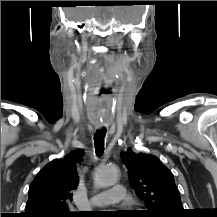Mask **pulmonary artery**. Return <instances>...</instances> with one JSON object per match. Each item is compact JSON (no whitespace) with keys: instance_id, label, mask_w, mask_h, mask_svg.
<instances>
[{"instance_id":"obj_1","label":"pulmonary artery","mask_w":217,"mask_h":217,"mask_svg":"<svg viewBox=\"0 0 217 217\" xmlns=\"http://www.w3.org/2000/svg\"><path fill=\"white\" fill-rule=\"evenodd\" d=\"M125 197V188L121 185H115L110 190L100 192L90 198V203L95 207H105L111 204L121 202Z\"/></svg>"}]
</instances>
